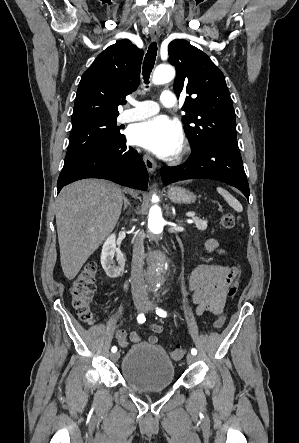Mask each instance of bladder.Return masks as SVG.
<instances>
[{
  "instance_id": "obj_1",
  "label": "bladder",
  "mask_w": 299,
  "mask_h": 443,
  "mask_svg": "<svg viewBox=\"0 0 299 443\" xmlns=\"http://www.w3.org/2000/svg\"><path fill=\"white\" fill-rule=\"evenodd\" d=\"M121 376L135 390H162L174 383L175 365L160 345L139 343L124 355Z\"/></svg>"
}]
</instances>
